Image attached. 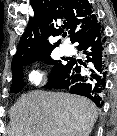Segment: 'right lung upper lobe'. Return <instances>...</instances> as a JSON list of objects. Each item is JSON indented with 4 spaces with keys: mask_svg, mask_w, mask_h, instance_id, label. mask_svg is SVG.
I'll use <instances>...</instances> for the list:
<instances>
[{
    "mask_svg": "<svg viewBox=\"0 0 117 136\" xmlns=\"http://www.w3.org/2000/svg\"><path fill=\"white\" fill-rule=\"evenodd\" d=\"M35 16L30 18L12 61V70L30 61L50 56L59 41L51 45L49 36L61 35L70 29L72 42L91 29L97 16L86 0H31Z\"/></svg>",
    "mask_w": 117,
    "mask_h": 136,
    "instance_id": "right-lung-upper-lobe-1",
    "label": "right lung upper lobe"
}]
</instances>
